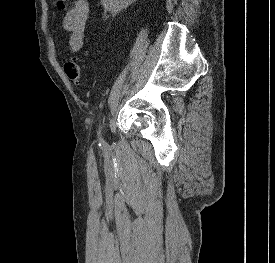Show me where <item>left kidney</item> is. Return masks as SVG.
<instances>
[{
    "mask_svg": "<svg viewBox=\"0 0 275 263\" xmlns=\"http://www.w3.org/2000/svg\"><path fill=\"white\" fill-rule=\"evenodd\" d=\"M134 0H101L105 10L117 14L127 8Z\"/></svg>",
    "mask_w": 275,
    "mask_h": 263,
    "instance_id": "left-kidney-1",
    "label": "left kidney"
}]
</instances>
